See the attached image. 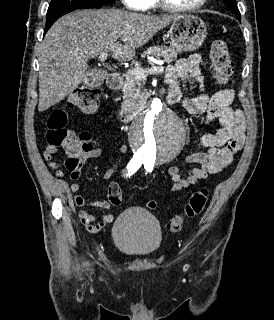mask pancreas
I'll return each instance as SVG.
<instances>
[{
    "mask_svg": "<svg viewBox=\"0 0 274 320\" xmlns=\"http://www.w3.org/2000/svg\"><path fill=\"white\" fill-rule=\"evenodd\" d=\"M178 54H180V50H172L168 46H151L147 52H144L142 58L145 56L147 58H163L164 62H173ZM135 68H140V66H135ZM124 78V84L121 88V92L124 94L121 108L129 110V112H136L139 110V100L136 94L141 92V80H137L133 74H125Z\"/></svg>",
    "mask_w": 274,
    "mask_h": 320,
    "instance_id": "obj_1",
    "label": "pancreas"
}]
</instances>
